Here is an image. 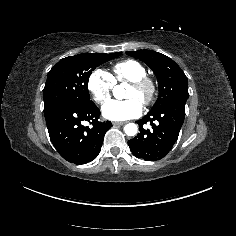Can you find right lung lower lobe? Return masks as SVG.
I'll return each mask as SVG.
<instances>
[{"mask_svg":"<svg viewBox=\"0 0 236 236\" xmlns=\"http://www.w3.org/2000/svg\"><path fill=\"white\" fill-rule=\"evenodd\" d=\"M50 140L57 152L68 162L85 164L94 160L103 143L110 121L100 122V110L92 102L77 106L58 102L44 107ZM91 126H83L84 122Z\"/></svg>","mask_w":236,"mask_h":236,"instance_id":"98d812e1","label":"right lung lower lobe"}]
</instances>
